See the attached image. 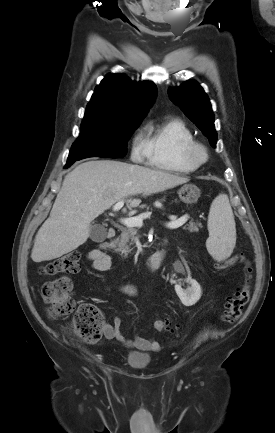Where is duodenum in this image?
<instances>
[{
    "label": "duodenum",
    "instance_id": "1",
    "mask_svg": "<svg viewBox=\"0 0 275 433\" xmlns=\"http://www.w3.org/2000/svg\"><path fill=\"white\" fill-rule=\"evenodd\" d=\"M115 235H116V230L114 228H109L107 230V236L109 238H114ZM110 246L111 243H107V244H103L102 248L106 249L109 248ZM165 254H166L165 250L157 251L156 253H154L153 255H151L146 259V261L144 262V267L149 271L158 270L163 264Z\"/></svg>",
    "mask_w": 275,
    "mask_h": 433
}]
</instances>
